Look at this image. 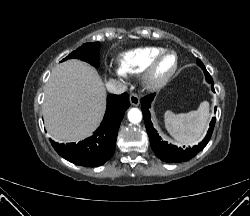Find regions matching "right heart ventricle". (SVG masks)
<instances>
[{
    "mask_svg": "<svg viewBox=\"0 0 250 216\" xmlns=\"http://www.w3.org/2000/svg\"><path fill=\"white\" fill-rule=\"evenodd\" d=\"M164 50L165 48L159 46H147L125 52L119 60L120 70L127 74H141L150 61Z\"/></svg>",
    "mask_w": 250,
    "mask_h": 216,
    "instance_id": "e07e8e85",
    "label": "right heart ventricle"
}]
</instances>
